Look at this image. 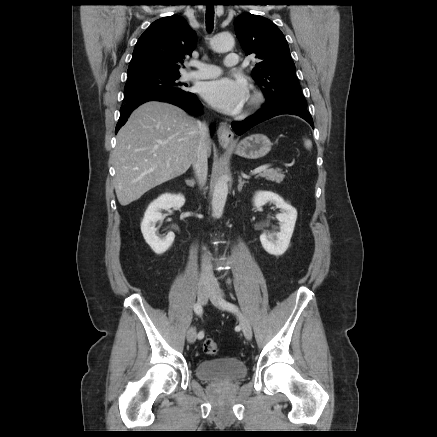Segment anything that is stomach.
<instances>
[{
  "mask_svg": "<svg viewBox=\"0 0 437 437\" xmlns=\"http://www.w3.org/2000/svg\"><path fill=\"white\" fill-rule=\"evenodd\" d=\"M229 148V145H225ZM272 147L270 139L263 134H252L235 145L234 151L238 156L247 159H259L266 156Z\"/></svg>",
  "mask_w": 437,
  "mask_h": 437,
  "instance_id": "1",
  "label": "stomach"
}]
</instances>
